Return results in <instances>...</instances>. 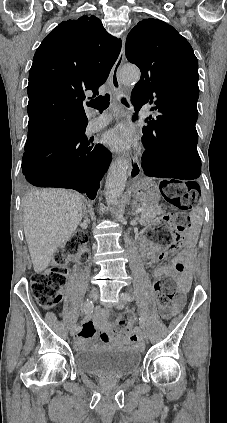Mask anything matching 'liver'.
<instances>
[{"label":"liver","instance_id":"1","mask_svg":"<svg viewBox=\"0 0 227 423\" xmlns=\"http://www.w3.org/2000/svg\"><path fill=\"white\" fill-rule=\"evenodd\" d=\"M82 204L73 190L47 188L25 194L23 225L34 271H44L59 245L72 237L83 217Z\"/></svg>","mask_w":227,"mask_h":423}]
</instances>
